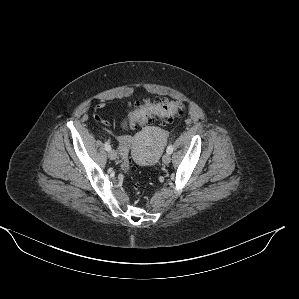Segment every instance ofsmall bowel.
I'll return each instance as SVG.
<instances>
[{
  "label": "small bowel",
  "mask_w": 299,
  "mask_h": 299,
  "mask_svg": "<svg viewBox=\"0 0 299 299\" xmlns=\"http://www.w3.org/2000/svg\"><path fill=\"white\" fill-rule=\"evenodd\" d=\"M117 140L119 143V152L121 154L124 148L129 146L130 139L128 137L120 136L117 138Z\"/></svg>",
  "instance_id": "small-bowel-1"
}]
</instances>
